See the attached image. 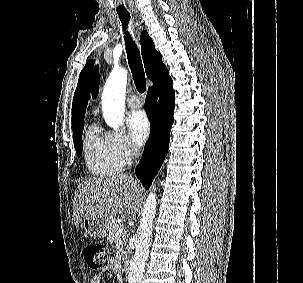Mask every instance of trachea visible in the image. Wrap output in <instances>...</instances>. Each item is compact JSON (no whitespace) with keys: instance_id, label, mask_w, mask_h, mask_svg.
Returning <instances> with one entry per match:
<instances>
[{"instance_id":"3493384b","label":"trachea","mask_w":303,"mask_h":283,"mask_svg":"<svg viewBox=\"0 0 303 283\" xmlns=\"http://www.w3.org/2000/svg\"><path fill=\"white\" fill-rule=\"evenodd\" d=\"M119 18L123 24V29L125 32L130 20V16L119 15ZM124 39L126 44L128 63L131 69L135 86L138 92L143 93L146 90V78L139 50L129 33L125 32Z\"/></svg>"}]
</instances>
